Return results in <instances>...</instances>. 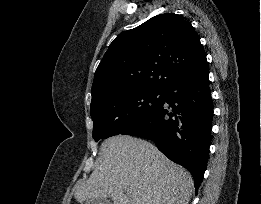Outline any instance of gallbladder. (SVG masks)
<instances>
[{"mask_svg": "<svg viewBox=\"0 0 261 204\" xmlns=\"http://www.w3.org/2000/svg\"><path fill=\"white\" fill-rule=\"evenodd\" d=\"M85 204H111L108 199H89Z\"/></svg>", "mask_w": 261, "mask_h": 204, "instance_id": "bac80fb5", "label": "gallbladder"}]
</instances>
